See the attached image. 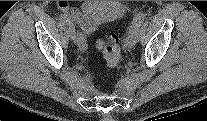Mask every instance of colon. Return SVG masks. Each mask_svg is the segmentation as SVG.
<instances>
[{
  "instance_id": "1",
  "label": "colon",
  "mask_w": 207,
  "mask_h": 121,
  "mask_svg": "<svg viewBox=\"0 0 207 121\" xmlns=\"http://www.w3.org/2000/svg\"><path fill=\"white\" fill-rule=\"evenodd\" d=\"M97 47L102 51L104 61L109 67H116L121 62L122 52L116 35H110L107 40H99Z\"/></svg>"
}]
</instances>
